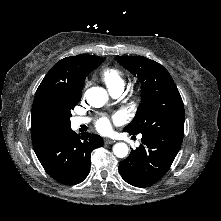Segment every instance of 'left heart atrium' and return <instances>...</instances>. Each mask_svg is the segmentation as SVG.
Wrapping results in <instances>:
<instances>
[{"label":"left heart atrium","instance_id":"1","mask_svg":"<svg viewBox=\"0 0 221 221\" xmlns=\"http://www.w3.org/2000/svg\"><path fill=\"white\" fill-rule=\"evenodd\" d=\"M114 119L117 120L118 116H115ZM96 128L103 133L109 132L111 129L110 118L105 115L99 117L96 121Z\"/></svg>","mask_w":221,"mask_h":221}]
</instances>
